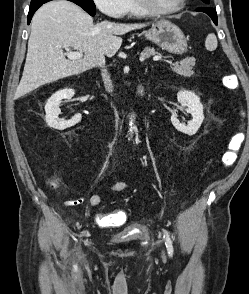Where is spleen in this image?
Returning <instances> with one entry per match:
<instances>
[{"label":"spleen","mask_w":249,"mask_h":294,"mask_svg":"<svg viewBox=\"0 0 249 294\" xmlns=\"http://www.w3.org/2000/svg\"><path fill=\"white\" fill-rule=\"evenodd\" d=\"M205 46L209 51H213L217 48V38L215 34H208V36L206 37Z\"/></svg>","instance_id":"3e777b00"}]
</instances>
